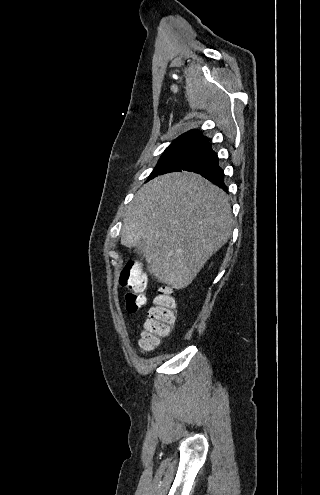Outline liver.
Returning <instances> with one entry per match:
<instances>
[{
    "instance_id": "6515ba94",
    "label": "liver",
    "mask_w": 320,
    "mask_h": 495,
    "mask_svg": "<svg viewBox=\"0 0 320 495\" xmlns=\"http://www.w3.org/2000/svg\"><path fill=\"white\" fill-rule=\"evenodd\" d=\"M226 193L199 174L172 172L145 184L129 205L121 243L137 247L149 272L176 290L187 287L230 238Z\"/></svg>"
}]
</instances>
